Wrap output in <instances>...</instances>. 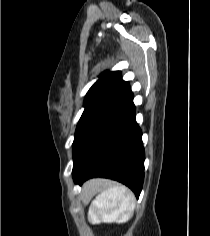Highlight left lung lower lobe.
Returning <instances> with one entry per match:
<instances>
[{
    "label": "left lung lower lobe",
    "instance_id": "1",
    "mask_svg": "<svg viewBox=\"0 0 210 236\" xmlns=\"http://www.w3.org/2000/svg\"><path fill=\"white\" fill-rule=\"evenodd\" d=\"M133 94L128 87L73 142V179L82 184L92 177L117 180L138 198L144 179L142 132L135 120Z\"/></svg>",
    "mask_w": 210,
    "mask_h": 236
}]
</instances>
